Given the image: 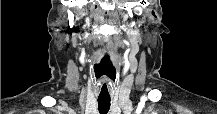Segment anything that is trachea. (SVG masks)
<instances>
[{"label":"trachea","mask_w":217,"mask_h":114,"mask_svg":"<svg viewBox=\"0 0 217 114\" xmlns=\"http://www.w3.org/2000/svg\"><path fill=\"white\" fill-rule=\"evenodd\" d=\"M98 109L101 114H107L110 109V99L98 98Z\"/></svg>","instance_id":"trachea-1"}]
</instances>
